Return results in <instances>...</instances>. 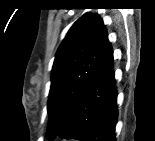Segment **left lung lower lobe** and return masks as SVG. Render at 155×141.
Returning a JSON list of instances; mask_svg holds the SVG:
<instances>
[{
	"label": "left lung lower lobe",
	"instance_id": "left-lung-lower-lobe-1",
	"mask_svg": "<svg viewBox=\"0 0 155 141\" xmlns=\"http://www.w3.org/2000/svg\"><path fill=\"white\" fill-rule=\"evenodd\" d=\"M113 50L109 43L102 59L74 105L60 137L79 141H115L118 119Z\"/></svg>",
	"mask_w": 155,
	"mask_h": 141
}]
</instances>
